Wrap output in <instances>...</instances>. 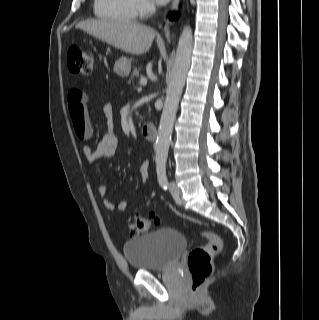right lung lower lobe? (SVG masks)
I'll list each match as a JSON object with an SVG mask.
<instances>
[{"label":"right lung lower lobe","mask_w":319,"mask_h":320,"mask_svg":"<svg viewBox=\"0 0 319 320\" xmlns=\"http://www.w3.org/2000/svg\"><path fill=\"white\" fill-rule=\"evenodd\" d=\"M176 17L175 14H170V19H174Z\"/></svg>","instance_id":"obj_1"}]
</instances>
